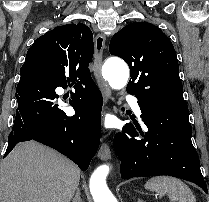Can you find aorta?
I'll return each mask as SVG.
<instances>
[{
	"instance_id": "762f6f07",
	"label": "aorta",
	"mask_w": 209,
	"mask_h": 202,
	"mask_svg": "<svg viewBox=\"0 0 209 202\" xmlns=\"http://www.w3.org/2000/svg\"><path fill=\"white\" fill-rule=\"evenodd\" d=\"M102 74L113 89L126 86L129 79V68L121 60L110 58L104 64ZM109 165H101L92 173L89 188L94 202H117L106 184Z\"/></svg>"
}]
</instances>
